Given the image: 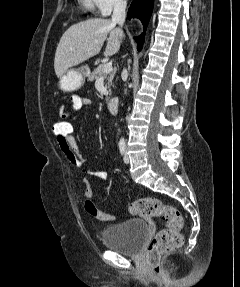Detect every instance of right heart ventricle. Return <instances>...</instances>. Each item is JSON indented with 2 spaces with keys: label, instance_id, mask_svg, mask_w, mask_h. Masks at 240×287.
Returning a JSON list of instances; mask_svg holds the SVG:
<instances>
[{
  "label": "right heart ventricle",
  "instance_id": "right-heart-ventricle-1",
  "mask_svg": "<svg viewBox=\"0 0 240 287\" xmlns=\"http://www.w3.org/2000/svg\"><path fill=\"white\" fill-rule=\"evenodd\" d=\"M83 9L87 12L93 13L96 10V5L94 0H78Z\"/></svg>",
  "mask_w": 240,
  "mask_h": 287
}]
</instances>
